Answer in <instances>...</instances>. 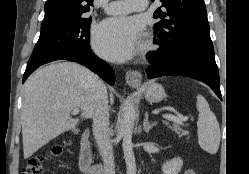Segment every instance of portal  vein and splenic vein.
<instances>
[{
  "mask_svg": "<svg viewBox=\"0 0 249 174\" xmlns=\"http://www.w3.org/2000/svg\"><path fill=\"white\" fill-rule=\"evenodd\" d=\"M79 113V109H73L72 111V114H78ZM163 118H165L166 120H169V121H172L174 123H177V124H183L184 121H187L188 120V117H178V116H175V115H172V114H164L163 115Z\"/></svg>",
  "mask_w": 249,
  "mask_h": 174,
  "instance_id": "18ae733b",
  "label": "portal vein and splenic vein"
}]
</instances>
